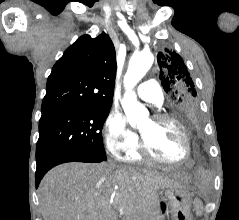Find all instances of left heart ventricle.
<instances>
[{
    "label": "left heart ventricle",
    "instance_id": "obj_1",
    "mask_svg": "<svg viewBox=\"0 0 239 220\" xmlns=\"http://www.w3.org/2000/svg\"><path fill=\"white\" fill-rule=\"evenodd\" d=\"M139 130L153 152L168 160H179L185 154V142L180 129L170 123L143 120Z\"/></svg>",
    "mask_w": 239,
    "mask_h": 220
}]
</instances>
